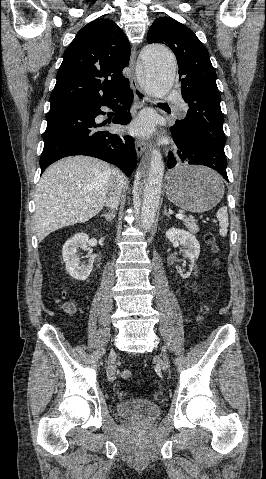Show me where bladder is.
Returning <instances> with one entry per match:
<instances>
[{
	"mask_svg": "<svg viewBox=\"0 0 266 479\" xmlns=\"http://www.w3.org/2000/svg\"><path fill=\"white\" fill-rule=\"evenodd\" d=\"M116 408L119 415L141 421L155 419L161 412L160 407L157 404L146 400L120 401Z\"/></svg>",
	"mask_w": 266,
	"mask_h": 479,
	"instance_id": "bladder-1",
	"label": "bladder"
}]
</instances>
